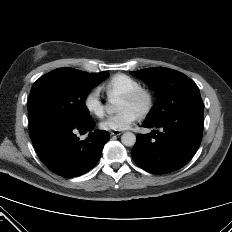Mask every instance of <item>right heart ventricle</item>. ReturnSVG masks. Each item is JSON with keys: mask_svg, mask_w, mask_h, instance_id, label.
Segmentation results:
<instances>
[{"mask_svg": "<svg viewBox=\"0 0 232 232\" xmlns=\"http://www.w3.org/2000/svg\"><path fill=\"white\" fill-rule=\"evenodd\" d=\"M141 87L142 84L138 79L123 73L113 75L103 84V89L109 97L122 96Z\"/></svg>", "mask_w": 232, "mask_h": 232, "instance_id": "obj_1", "label": "right heart ventricle"}]
</instances>
